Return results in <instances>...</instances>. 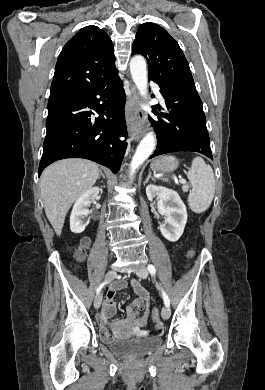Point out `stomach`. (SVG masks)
I'll return each mask as SVG.
<instances>
[{"instance_id": "0dacf381", "label": "stomach", "mask_w": 265, "mask_h": 390, "mask_svg": "<svg viewBox=\"0 0 265 390\" xmlns=\"http://www.w3.org/2000/svg\"><path fill=\"white\" fill-rule=\"evenodd\" d=\"M179 161L174 156H161L154 159L150 165L151 169L156 172H173L177 169Z\"/></svg>"}]
</instances>
